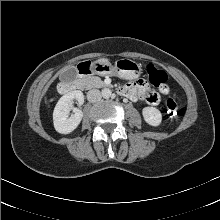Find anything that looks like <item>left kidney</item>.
<instances>
[{
    "instance_id": "left-kidney-1",
    "label": "left kidney",
    "mask_w": 220,
    "mask_h": 220,
    "mask_svg": "<svg viewBox=\"0 0 220 220\" xmlns=\"http://www.w3.org/2000/svg\"><path fill=\"white\" fill-rule=\"evenodd\" d=\"M142 115L146 123L151 126H159L162 121L161 112L155 107H144Z\"/></svg>"
}]
</instances>
